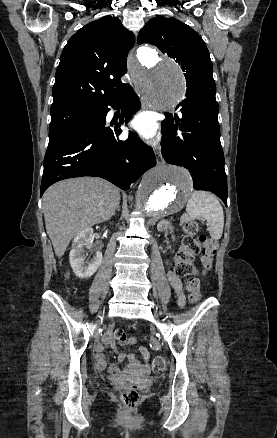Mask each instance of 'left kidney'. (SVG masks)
Masks as SVG:
<instances>
[{
    "label": "left kidney",
    "instance_id": "left-kidney-1",
    "mask_svg": "<svg viewBox=\"0 0 277 438\" xmlns=\"http://www.w3.org/2000/svg\"><path fill=\"white\" fill-rule=\"evenodd\" d=\"M157 230L158 232H165V230H171V232H173L174 228L168 220H161L157 226Z\"/></svg>",
    "mask_w": 277,
    "mask_h": 438
}]
</instances>
